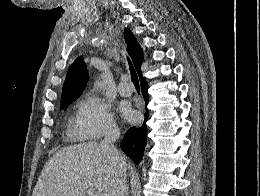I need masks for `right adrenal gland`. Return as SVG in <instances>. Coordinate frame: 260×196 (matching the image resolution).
<instances>
[{
  "mask_svg": "<svg viewBox=\"0 0 260 196\" xmlns=\"http://www.w3.org/2000/svg\"><path fill=\"white\" fill-rule=\"evenodd\" d=\"M125 196H129V188H126Z\"/></svg>",
  "mask_w": 260,
  "mask_h": 196,
  "instance_id": "right-adrenal-gland-1",
  "label": "right adrenal gland"
}]
</instances>
